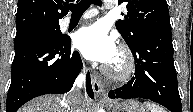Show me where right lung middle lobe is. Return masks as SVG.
<instances>
[{
	"label": "right lung middle lobe",
	"mask_w": 193,
	"mask_h": 112,
	"mask_svg": "<svg viewBox=\"0 0 193 112\" xmlns=\"http://www.w3.org/2000/svg\"><path fill=\"white\" fill-rule=\"evenodd\" d=\"M50 34L57 35L61 39H66V37L60 31L59 25L37 26L17 31L14 40V48L16 49L31 41Z\"/></svg>",
	"instance_id": "dd1d6c3e"
}]
</instances>
